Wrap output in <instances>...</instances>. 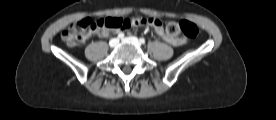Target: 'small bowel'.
<instances>
[{
  "label": "small bowel",
  "mask_w": 276,
  "mask_h": 120,
  "mask_svg": "<svg viewBox=\"0 0 276 120\" xmlns=\"http://www.w3.org/2000/svg\"><path fill=\"white\" fill-rule=\"evenodd\" d=\"M152 27L155 29L156 33L167 43L173 45V46H180L185 43V40L181 37H175V36H170L166 33L162 22L160 20H156L153 24ZM97 34L100 36H107L108 31H97ZM90 34L86 35L85 38L82 41H85L89 38Z\"/></svg>",
  "instance_id": "obj_1"
}]
</instances>
